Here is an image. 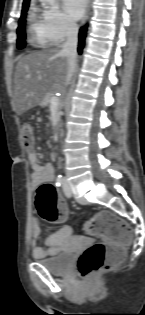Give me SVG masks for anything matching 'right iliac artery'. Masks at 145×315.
<instances>
[{
	"mask_svg": "<svg viewBox=\"0 0 145 315\" xmlns=\"http://www.w3.org/2000/svg\"><path fill=\"white\" fill-rule=\"evenodd\" d=\"M63 182H64V178L62 175H58L57 178H56V185L57 186H61L63 185Z\"/></svg>",
	"mask_w": 145,
	"mask_h": 315,
	"instance_id": "1",
	"label": "right iliac artery"
}]
</instances>
